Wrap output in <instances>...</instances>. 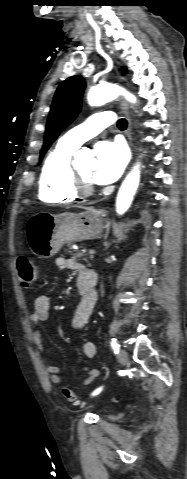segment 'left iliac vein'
Returning <instances> with one entry per match:
<instances>
[{
	"label": "left iliac vein",
	"instance_id": "4c4485c4",
	"mask_svg": "<svg viewBox=\"0 0 187 479\" xmlns=\"http://www.w3.org/2000/svg\"><path fill=\"white\" fill-rule=\"evenodd\" d=\"M118 359L123 366L127 365L128 360H129V356H128L127 351L124 350V349H121L119 354H118Z\"/></svg>",
	"mask_w": 187,
	"mask_h": 479
}]
</instances>
